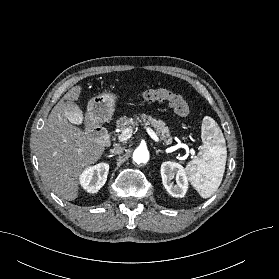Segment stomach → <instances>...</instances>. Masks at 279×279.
<instances>
[{"label":"stomach","instance_id":"stomach-1","mask_svg":"<svg viewBox=\"0 0 279 279\" xmlns=\"http://www.w3.org/2000/svg\"><path fill=\"white\" fill-rule=\"evenodd\" d=\"M118 96L113 93H102L93 97L87 106V120L92 124L107 122L111 119Z\"/></svg>","mask_w":279,"mask_h":279}]
</instances>
